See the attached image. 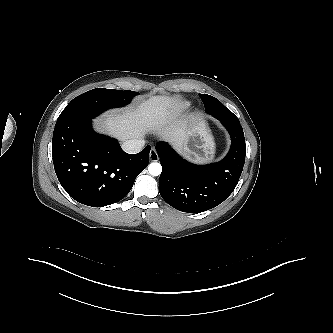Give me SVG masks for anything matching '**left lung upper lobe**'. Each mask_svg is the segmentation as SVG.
<instances>
[{"label":"left lung upper lobe","instance_id":"obj_1","mask_svg":"<svg viewBox=\"0 0 333 333\" xmlns=\"http://www.w3.org/2000/svg\"><path fill=\"white\" fill-rule=\"evenodd\" d=\"M200 98L202 99L206 112L209 114H222L227 117L234 116L237 118L230 110H228L219 100L215 97L207 95V94H200Z\"/></svg>","mask_w":333,"mask_h":333}]
</instances>
